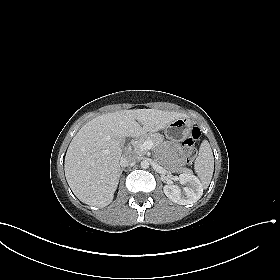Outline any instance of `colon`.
<instances>
[{"label": "colon", "mask_w": 280, "mask_h": 280, "mask_svg": "<svg viewBox=\"0 0 280 280\" xmlns=\"http://www.w3.org/2000/svg\"><path fill=\"white\" fill-rule=\"evenodd\" d=\"M201 136V131L199 128H193L190 136L184 141V150H185V159L188 163L194 161L197 150H196V142L199 140Z\"/></svg>", "instance_id": "1"}]
</instances>
